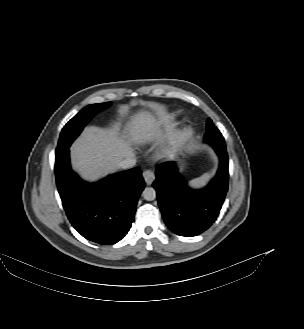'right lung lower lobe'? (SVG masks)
<instances>
[{
  "mask_svg": "<svg viewBox=\"0 0 304 329\" xmlns=\"http://www.w3.org/2000/svg\"><path fill=\"white\" fill-rule=\"evenodd\" d=\"M55 176L67 217L83 237L109 245L127 234L138 197L145 187L140 168L109 175L90 184L72 171L67 149L56 155Z\"/></svg>",
  "mask_w": 304,
  "mask_h": 329,
  "instance_id": "1",
  "label": "right lung lower lobe"
}]
</instances>
